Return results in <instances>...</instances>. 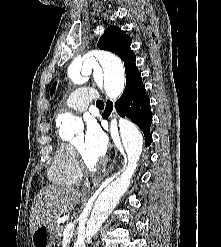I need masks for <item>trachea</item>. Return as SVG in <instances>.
<instances>
[{"label":"trachea","instance_id":"trachea-1","mask_svg":"<svg viewBox=\"0 0 221 247\" xmlns=\"http://www.w3.org/2000/svg\"><path fill=\"white\" fill-rule=\"evenodd\" d=\"M96 106H97L98 108H104V102L101 101V100H97V101H96Z\"/></svg>","mask_w":221,"mask_h":247}]
</instances>
